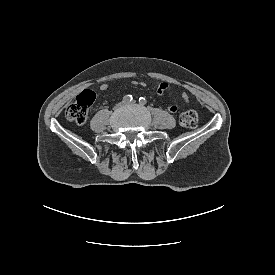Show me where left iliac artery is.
Returning a JSON list of instances; mask_svg holds the SVG:
<instances>
[{
  "label": "left iliac artery",
  "instance_id": "left-iliac-artery-1",
  "mask_svg": "<svg viewBox=\"0 0 275 275\" xmlns=\"http://www.w3.org/2000/svg\"><path fill=\"white\" fill-rule=\"evenodd\" d=\"M139 103H140L141 105H145V104L147 103V101H146L145 98L140 97V98H139Z\"/></svg>",
  "mask_w": 275,
  "mask_h": 275
}]
</instances>
